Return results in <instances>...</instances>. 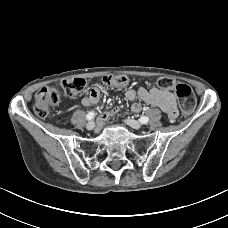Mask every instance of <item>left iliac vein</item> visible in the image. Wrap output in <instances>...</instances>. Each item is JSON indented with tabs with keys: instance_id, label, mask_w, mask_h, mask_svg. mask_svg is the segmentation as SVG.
<instances>
[{
	"instance_id": "left-iliac-vein-1",
	"label": "left iliac vein",
	"mask_w": 228,
	"mask_h": 228,
	"mask_svg": "<svg viewBox=\"0 0 228 228\" xmlns=\"http://www.w3.org/2000/svg\"><path fill=\"white\" fill-rule=\"evenodd\" d=\"M125 123L134 129H140L142 127L140 122L132 119H126Z\"/></svg>"
}]
</instances>
